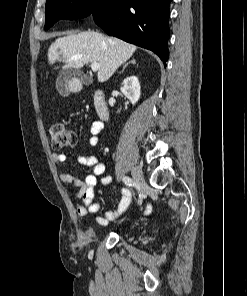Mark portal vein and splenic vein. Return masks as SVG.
<instances>
[{"label":"portal vein and splenic vein","instance_id":"obj_1","mask_svg":"<svg viewBox=\"0 0 247 296\" xmlns=\"http://www.w3.org/2000/svg\"><path fill=\"white\" fill-rule=\"evenodd\" d=\"M100 68V64H98V63H96V62H93L92 64H91V69H92V71H98V69Z\"/></svg>","mask_w":247,"mask_h":296}]
</instances>
